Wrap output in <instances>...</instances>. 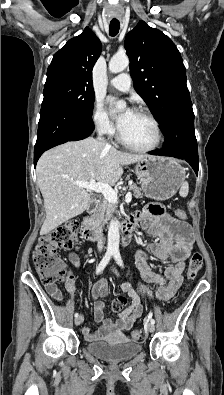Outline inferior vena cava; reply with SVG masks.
<instances>
[{
	"label": "inferior vena cava",
	"instance_id": "602c4592",
	"mask_svg": "<svg viewBox=\"0 0 224 395\" xmlns=\"http://www.w3.org/2000/svg\"><path fill=\"white\" fill-rule=\"evenodd\" d=\"M102 134H103V129H101V130L99 131V137H98V139H99L100 141H103V142H104V139L101 137ZM105 146H106V148H111V145L108 144V143H106ZM97 247H98V250H99L100 252H101V251L103 250V248H104V241H103V235H102V234L100 235V238H99V240H98Z\"/></svg>",
	"mask_w": 224,
	"mask_h": 395
}]
</instances>
